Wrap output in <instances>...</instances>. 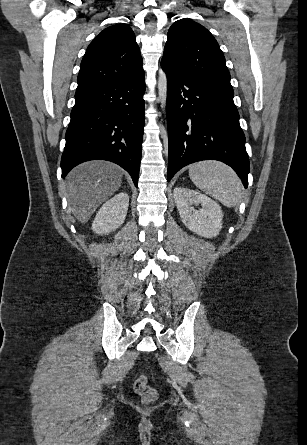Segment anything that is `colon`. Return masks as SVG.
<instances>
[{
    "mask_svg": "<svg viewBox=\"0 0 307 445\" xmlns=\"http://www.w3.org/2000/svg\"><path fill=\"white\" fill-rule=\"evenodd\" d=\"M134 391L141 397L143 402L151 403L156 400L157 392L148 383L145 375H140L134 382Z\"/></svg>",
    "mask_w": 307,
    "mask_h": 445,
    "instance_id": "1",
    "label": "colon"
}]
</instances>
